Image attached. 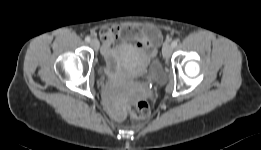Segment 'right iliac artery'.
<instances>
[{
	"mask_svg": "<svg viewBox=\"0 0 261 150\" xmlns=\"http://www.w3.org/2000/svg\"><path fill=\"white\" fill-rule=\"evenodd\" d=\"M90 40H91V38H90L89 36H87V37L85 38V41H86V42H90Z\"/></svg>",
	"mask_w": 261,
	"mask_h": 150,
	"instance_id": "right-iliac-artery-1",
	"label": "right iliac artery"
}]
</instances>
